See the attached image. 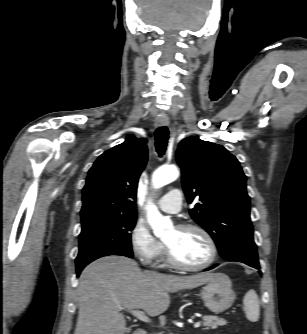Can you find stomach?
I'll use <instances>...</instances> for the list:
<instances>
[{
  "label": "stomach",
  "mask_w": 307,
  "mask_h": 334,
  "mask_svg": "<svg viewBox=\"0 0 307 334\" xmlns=\"http://www.w3.org/2000/svg\"><path fill=\"white\" fill-rule=\"evenodd\" d=\"M214 279L201 289L205 306L213 313L219 314L232 306L236 295L229 277L223 273H213Z\"/></svg>",
  "instance_id": "stomach-1"
}]
</instances>
